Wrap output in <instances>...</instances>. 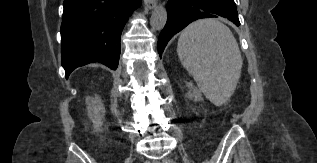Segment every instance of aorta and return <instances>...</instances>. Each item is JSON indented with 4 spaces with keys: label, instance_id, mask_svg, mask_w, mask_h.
Returning a JSON list of instances; mask_svg holds the SVG:
<instances>
[{
    "label": "aorta",
    "instance_id": "obj_1",
    "mask_svg": "<svg viewBox=\"0 0 317 163\" xmlns=\"http://www.w3.org/2000/svg\"><path fill=\"white\" fill-rule=\"evenodd\" d=\"M167 22V12L166 9L159 5L154 8L150 20V25L154 30H162Z\"/></svg>",
    "mask_w": 317,
    "mask_h": 163
}]
</instances>
